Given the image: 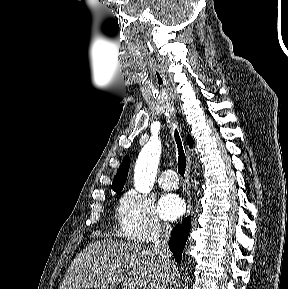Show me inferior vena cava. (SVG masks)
<instances>
[{"label":"inferior vena cava","mask_w":288,"mask_h":289,"mask_svg":"<svg viewBox=\"0 0 288 289\" xmlns=\"http://www.w3.org/2000/svg\"><path fill=\"white\" fill-rule=\"evenodd\" d=\"M172 228L168 224H163L160 227L158 238L155 241L153 250L162 258L167 265L170 262V250L168 248V241L170 238Z\"/></svg>","instance_id":"1"}]
</instances>
